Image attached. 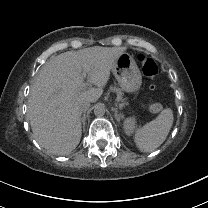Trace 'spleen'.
I'll list each match as a JSON object with an SVG mask.
<instances>
[{
  "label": "spleen",
  "mask_w": 208,
  "mask_h": 208,
  "mask_svg": "<svg viewBox=\"0 0 208 208\" xmlns=\"http://www.w3.org/2000/svg\"><path fill=\"white\" fill-rule=\"evenodd\" d=\"M173 111L166 108L155 120L137 129L134 141L142 152H152L157 149L167 138L173 124Z\"/></svg>",
  "instance_id": "spleen-1"
}]
</instances>
